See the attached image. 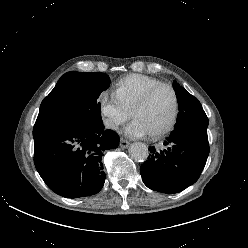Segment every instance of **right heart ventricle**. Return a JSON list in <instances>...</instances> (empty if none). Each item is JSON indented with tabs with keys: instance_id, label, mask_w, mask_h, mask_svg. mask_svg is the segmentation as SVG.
Returning a JSON list of instances; mask_svg holds the SVG:
<instances>
[{
	"instance_id": "e07e8e85",
	"label": "right heart ventricle",
	"mask_w": 248,
	"mask_h": 248,
	"mask_svg": "<svg viewBox=\"0 0 248 248\" xmlns=\"http://www.w3.org/2000/svg\"><path fill=\"white\" fill-rule=\"evenodd\" d=\"M162 83L160 80L141 74H130L120 79L114 89V95L121 105L130 112L133 105L151 87Z\"/></svg>"
}]
</instances>
